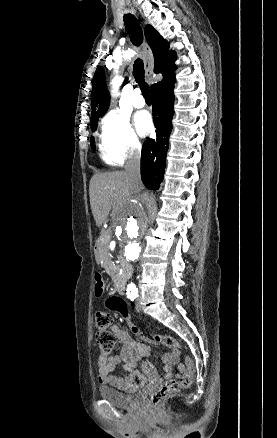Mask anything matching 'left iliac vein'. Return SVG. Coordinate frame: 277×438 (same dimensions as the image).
Returning <instances> with one entry per match:
<instances>
[{"label": "left iliac vein", "mask_w": 277, "mask_h": 438, "mask_svg": "<svg viewBox=\"0 0 277 438\" xmlns=\"http://www.w3.org/2000/svg\"><path fill=\"white\" fill-rule=\"evenodd\" d=\"M136 310H137L138 312L141 311V305H140L139 301H137V303H136Z\"/></svg>", "instance_id": "left-iliac-vein-1"}]
</instances>
